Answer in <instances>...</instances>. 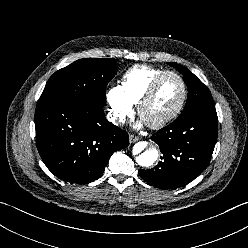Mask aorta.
Listing matches in <instances>:
<instances>
[{"label": "aorta", "instance_id": "aorta-1", "mask_svg": "<svg viewBox=\"0 0 248 248\" xmlns=\"http://www.w3.org/2000/svg\"><path fill=\"white\" fill-rule=\"evenodd\" d=\"M146 141L138 142L133 147L136 162L142 167H150L158 159L159 152L156 148H148Z\"/></svg>", "mask_w": 248, "mask_h": 248}]
</instances>
